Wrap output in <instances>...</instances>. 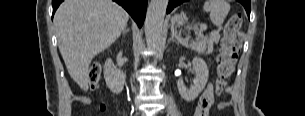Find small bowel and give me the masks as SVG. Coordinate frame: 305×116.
<instances>
[{
	"mask_svg": "<svg viewBox=\"0 0 305 116\" xmlns=\"http://www.w3.org/2000/svg\"><path fill=\"white\" fill-rule=\"evenodd\" d=\"M214 100L213 86L208 84L200 96L194 116H209ZM225 106V103L219 104V108H224Z\"/></svg>",
	"mask_w": 305,
	"mask_h": 116,
	"instance_id": "obj_1",
	"label": "small bowel"
}]
</instances>
